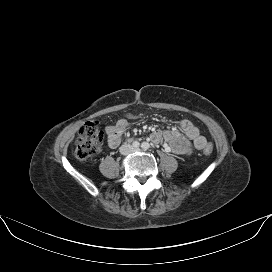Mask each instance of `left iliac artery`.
I'll use <instances>...</instances> for the list:
<instances>
[{
    "label": "left iliac artery",
    "instance_id": "left-iliac-artery-1",
    "mask_svg": "<svg viewBox=\"0 0 272 272\" xmlns=\"http://www.w3.org/2000/svg\"><path fill=\"white\" fill-rule=\"evenodd\" d=\"M141 147H142L144 150H147V149L150 148V144H149L148 142H143V143L141 144Z\"/></svg>",
    "mask_w": 272,
    "mask_h": 272
}]
</instances>
